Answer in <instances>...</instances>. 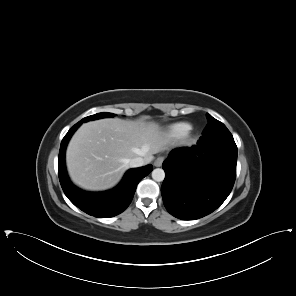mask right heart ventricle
Returning <instances> with one entry per match:
<instances>
[{
    "label": "right heart ventricle",
    "mask_w": 296,
    "mask_h": 296,
    "mask_svg": "<svg viewBox=\"0 0 296 296\" xmlns=\"http://www.w3.org/2000/svg\"><path fill=\"white\" fill-rule=\"evenodd\" d=\"M191 130V125L188 123H176L169 127L168 133L173 138L185 137Z\"/></svg>",
    "instance_id": "e07e8e85"
}]
</instances>
